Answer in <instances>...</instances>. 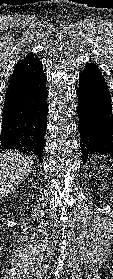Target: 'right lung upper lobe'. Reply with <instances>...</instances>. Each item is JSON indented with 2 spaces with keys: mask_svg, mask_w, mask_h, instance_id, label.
<instances>
[{
  "mask_svg": "<svg viewBox=\"0 0 113 279\" xmlns=\"http://www.w3.org/2000/svg\"><path fill=\"white\" fill-rule=\"evenodd\" d=\"M39 64H41V61L34 54H29L23 60H20L15 66L10 78L6 95L11 89L15 88L20 82L31 75Z\"/></svg>",
  "mask_w": 113,
  "mask_h": 279,
  "instance_id": "obj_1",
  "label": "right lung upper lobe"
}]
</instances>
